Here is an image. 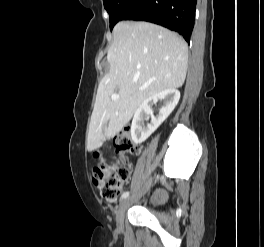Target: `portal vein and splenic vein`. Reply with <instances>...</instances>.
Masks as SVG:
<instances>
[{
	"label": "portal vein and splenic vein",
	"mask_w": 264,
	"mask_h": 247,
	"mask_svg": "<svg viewBox=\"0 0 264 247\" xmlns=\"http://www.w3.org/2000/svg\"><path fill=\"white\" fill-rule=\"evenodd\" d=\"M118 98H119V96L116 95V94H114V95L111 96V99H112V100H117Z\"/></svg>",
	"instance_id": "18ae733b"
}]
</instances>
